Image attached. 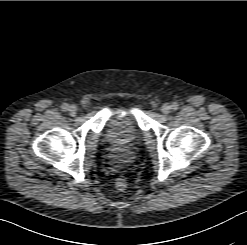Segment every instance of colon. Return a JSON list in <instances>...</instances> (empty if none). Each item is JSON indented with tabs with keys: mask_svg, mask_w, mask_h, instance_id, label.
I'll list each match as a JSON object with an SVG mask.
<instances>
[{
	"mask_svg": "<svg viewBox=\"0 0 247 245\" xmlns=\"http://www.w3.org/2000/svg\"><path fill=\"white\" fill-rule=\"evenodd\" d=\"M116 187L123 191L127 188V182H126V179L123 177V176H119L117 179H116Z\"/></svg>",
	"mask_w": 247,
	"mask_h": 245,
	"instance_id": "1",
	"label": "colon"
}]
</instances>
